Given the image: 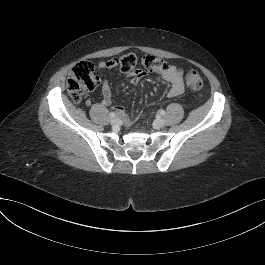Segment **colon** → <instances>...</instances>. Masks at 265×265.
Returning <instances> with one entry per match:
<instances>
[{
	"label": "colon",
	"instance_id": "5ec220e1",
	"mask_svg": "<svg viewBox=\"0 0 265 265\" xmlns=\"http://www.w3.org/2000/svg\"><path fill=\"white\" fill-rule=\"evenodd\" d=\"M116 64L125 74H130L135 71L138 63L137 56L133 53H128L115 58ZM143 68L152 73L162 74L167 71V63L158 57L146 55L141 59ZM187 87L197 92L200 96L203 95L202 77L196 70H189L185 74ZM99 78L95 74L94 64L90 61H80L70 71L67 79V90L74 103L81 101V95L84 92H90L98 85Z\"/></svg>",
	"mask_w": 265,
	"mask_h": 265
}]
</instances>
